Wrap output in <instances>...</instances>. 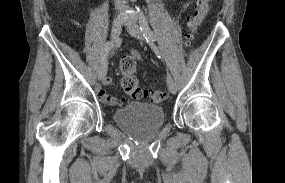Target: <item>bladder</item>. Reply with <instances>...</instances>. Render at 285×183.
Returning <instances> with one entry per match:
<instances>
[{"label":"bladder","mask_w":285,"mask_h":183,"mask_svg":"<svg viewBox=\"0 0 285 183\" xmlns=\"http://www.w3.org/2000/svg\"><path fill=\"white\" fill-rule=\"evenodd\" d=\"M115 122L128 131L148 134L159 130L165 122L163 107L149 103H130L116 109Z\"/></svg>","instance_id":"obj_1"}]
</instances>
